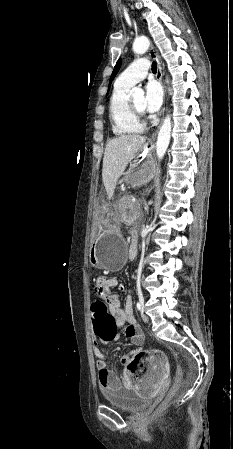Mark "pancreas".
Returning <instances> with one entry per match:
<instances>
[{"label": "pancreas", "mask_w": 233, "mask_h": 449, "mask_svg": "<svg viewBox=\"0 0 233 449\" xmlns=\"http://www.w3.org/2000/svg\"><path fill=\"white\" fill-rule=\"evenodd\" d=\"M125 200L127 201V206L130 210L129 216L130 219H141L142 217V211L139 209V207L132 202V197L128 196L125 197Z\"/></svg>", "instance_id": "1"}]
</instances>
